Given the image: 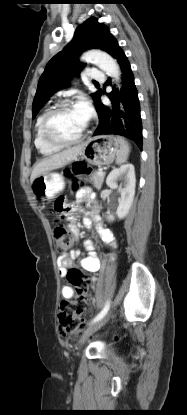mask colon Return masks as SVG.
I'll use <instances>...</instances> for the list:
<instances>
[{
	"mask_svg": "<svg viewBox=\"0 0 187 415\" xmlns=\"http://www.w3.org/2000/svg\"><path fill=\"white\" fill-rule=\"evenodd\" d=\"M86 165L80 164L74 167V172H85ZM77 184L74 183V187ZM58 207L60 210H68L66 200H59ZM53 235L57 245V251L60 255H65L74 243V235L62 223L53 225ZM68 282L75 288L76 296L74 298L62 300L58 312L60 323V335L65 336L70 333H80L85 323V317L90 306L89 289L92 284L91 278L85 276L78 270H70L67 274Z\"/></svg>",
	"mask_w": 187,
	"mask_h": 415,
	"instance_id": "1",
	"label": "colon"
}]
</instances>
